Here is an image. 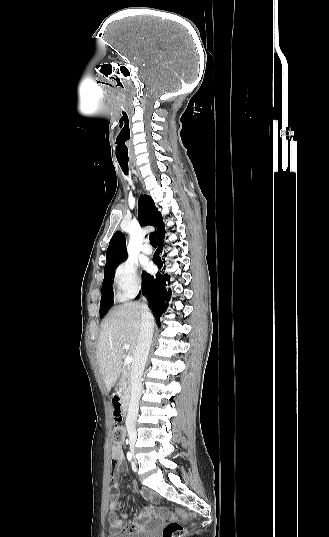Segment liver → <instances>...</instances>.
<instances>
[{"label":"liver","mask_w":329,"mask_h":537,"mask_svg":"<svg viewBox=\"0 0 329 537\" xmlns=\"http://www.w3.org/2000/svg\"><path fill=\"white\" fill-rule=\"evenodd\" d=\"M141 314L140 304L124 303L102 323L96 354L107 391L111 390L120 376L125 343L129 345V356L134 357Z\"/></svg>","instance_id":"liver-1"}]
</instances>
